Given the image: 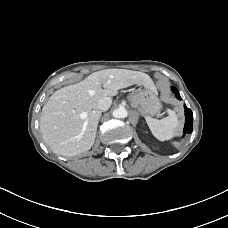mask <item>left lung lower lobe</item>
Segmentation results:
<instances>
[{
    "mask_svg": "<svg viewBox=\"0 0 228 228\" xmlns=\"http://www.w3.org/2000/svg\"><path fill=\"white\" fill-rule=\"evenodd\" d=\"M172 91L176 94V97L181 100L178 90L175 87H172ZM185 108V127H184V134L191 133L193 130V113L192 111L184 105Z\"/></svg>",
    "mask_w": 228,
    "mask_h": 228,
    "instance_id": "left-lung-lower-lobe-1",
    "label": "left lung lower lobe"
}]
</instances>
